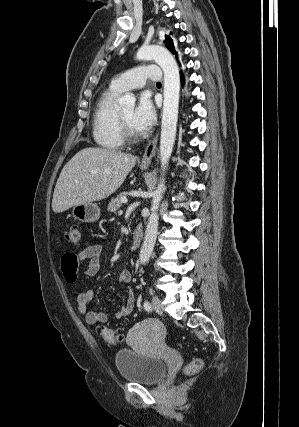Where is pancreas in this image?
Wrapping results in <instances>:
<instances>
[{
    "label": "pancreas",
    "instance_id": "cf45deb5",
    "mask_svg": "<svg viewBox=\"0 0 299 427\" xmlns=\"http://www.w3.org/2000/svg\"><path fill=\"white\" fill-rule=\"evenodd\" d=\"M123 195H118L116 198H112L111 202L108 204V211L110 212H116L119 210V208L122 206L121 198H123ZM129 230L130 226H129Z\"/></svg>",
    "mask_w": 299,
    "mask_h": 427
}]
</instances>
